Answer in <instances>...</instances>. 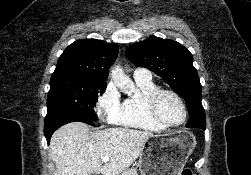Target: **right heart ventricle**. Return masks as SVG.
<instances>
[{
  "mask_svg": "<svg viewBox=\"0 0 251 175\" xmlns=\"http://www.w3.org/2000/svg\"><path fill=\"white\" fill-rule=\"evenodd\" d=\"M157 88L152 81H136V93L124 100L116 122L146 132H164L166 129L149 116L145 107L146 97Z\"/></svg>",
  "mask_w": 251,
  "mask_h": 175,
  "instance_id": "right-heart-ventricle-1",
  "label": "right heart ventricle"
}]
</instances>
